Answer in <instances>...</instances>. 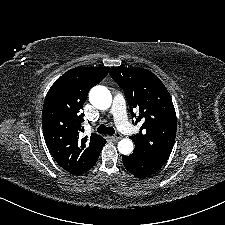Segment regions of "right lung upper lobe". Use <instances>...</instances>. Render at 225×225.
I'll use <instances>...</instances> for the list:
<instances>
[{"label":"right lung upper lobe","mask_w":225,"mask_h":225,"mask_svg":"<svg viewBox=\"0 0 225 225\" xmlns=\"http://www.w3.org/2000/svg\"><path fill=\"white\" fill-rule=\"evenodd\" d=\"M109 68L76 67L64 73L49 89L42 110L46 145L55 161L73 175L91 169L106 140L92 133L83 137L81 113L89 90L107 76Z\"/></svg>","instance_id":"obj_1"}]
</instances>
